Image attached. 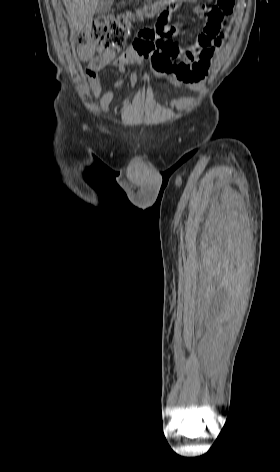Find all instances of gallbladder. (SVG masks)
<instances>
[{
    "mask_svg": "<svg viewBox=\"0 0 280 472\" xmlns=\"http://www.w3.org/2000/svg\"><path fill=\"white\" fill-rule=\"evenodd\" d=\"M114 0H98L96 12L101 14L107 12L112 6Z\"/></svg>",
    "mask_w": 280,
    "mask_h": 472,
    "instance_id": "obj_1",
    "label": "gallbladder"
}]
</instances>
